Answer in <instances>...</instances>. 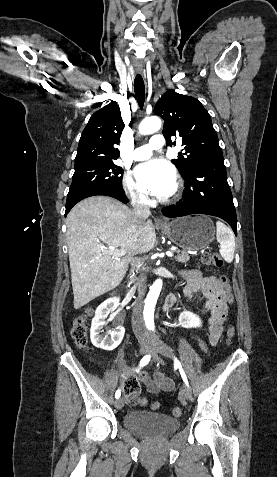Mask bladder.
I'll return each instance as SVG.
<instances>
[{
	"label": "bladder",
	"instance_id": "obj_1",
	"mask_svg": "<svg viewBox=\"0 0 277 477\" xmlns=\"http://www.w3.org/2000/svg\"><path fill=\"white\" fill-rule=\"evenodd\" d=\"M123 421L127 429L144 438H162L180 426L178 419L149 411H130Z\"/></svg>",
	"mask_w": 277,
	"mask_h": 477
}]
</instances>
